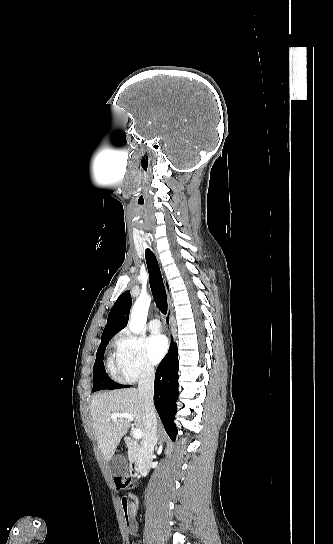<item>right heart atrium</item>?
I'll list each match as a JSON object with an SVG mask.
<instances>
[{
	"label": "right heart atrium",
	"mask_w": 333,
	"mask_h": 544,
	"mask_svg": "<svg viewBox=\"0 0 333 544\" xmlns=\"http://www.w3.org/2000/svg\"><path fill=\"white\" fill-rule=\"evenodd\" d=\"M115 364L121 380L134 383L151 378L155 369L146 356L144 344L127 330L119 332L114 340Z\"/></svg>",
	"instance_id": "1"
}]
</instances>
